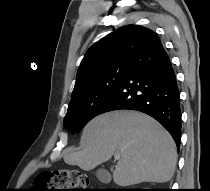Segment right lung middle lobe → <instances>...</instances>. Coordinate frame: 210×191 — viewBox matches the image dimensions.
Segmentation results:
<instances>
[{
	"label": "right lung middle lobe",
	"instance_id": "obj_1",
	"mask_svg": "<svg viewBox=\"0 0 210 191\" xmlns=\"http://www.w3.org/2000/svg\"><path fill=\"white\" fill-rule=\"evenodd\" d=\"M130 62L113 63L95 73L89 82L72 94L64 127L79 132L95 116L125 76Z\"/></svg>",
	"mask_w": 210,
	"mask_h": 191
}]
</instances>
